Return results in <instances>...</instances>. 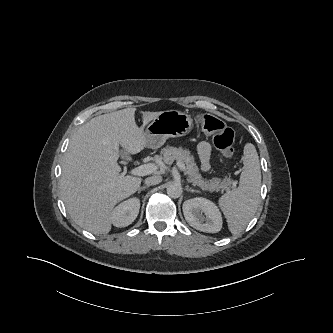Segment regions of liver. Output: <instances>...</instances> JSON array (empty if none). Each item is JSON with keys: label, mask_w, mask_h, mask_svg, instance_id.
<instances>
[{"label": "liver", "mask_w": 333, "mask_h": 333, "mask_svg": "<svg viewBox=\"0 0 333 333\" xmlns=\"http://www.w3.org/2000/svg\"><path fill=\"white\" fill-rule=\"evenodd\" d=\"M135 108L94 117L72 136L65 153L60 189L72 220L93 234L111 230L114 206L134 194L142 179L120 173L119 147L137 154L147 147ZM161 112H142L143 127Z\"/></svg>", "instance_id": "6515ba94"}]
</instances>
